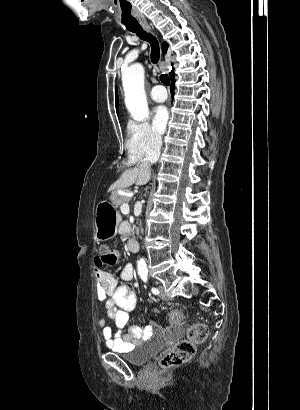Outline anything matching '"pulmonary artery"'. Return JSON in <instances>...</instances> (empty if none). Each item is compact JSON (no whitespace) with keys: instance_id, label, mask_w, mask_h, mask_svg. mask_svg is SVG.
Masks as SVG:
<instances>
[{"instance_id":"1","label":"pulmonary artery","mask_w":300,"mask_h":410,"mask_svg":"<svg viewBox=\"0 0 300 410\" xmlns=\"http://www.w3.org/2000/svg\"><path fill=\"white\" fill-rule=\"evenodd\" d=\"M150 97L155 102H163L167 99V92L163 86L156 85L151 89Z\"/></svg>"}]
</instances>
